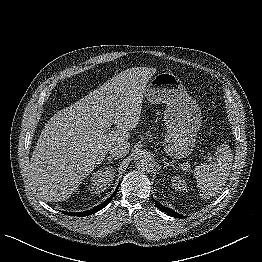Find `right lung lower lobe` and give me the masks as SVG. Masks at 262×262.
Segmentation results:
<instances>
[{
	"instance_id": "obj_1",
	"label": "right lung lower lobe",
	"mask_w": 262,
	"mask_h": 262,
	"mask_svg": "<svg viewBox=\"0 0 262 262\" xmlns=\"http://www.w3.org/2000/svg\"><path fill=\"white\" fill-rule=\"evenodd\" d=\"M118 189V187H117ZM117 189L115 190V192L111 195V197H109L106 201H104L103 203H101L100 205L96 206L95 208L91 209V210H87V211H84V212H77V213H74V212H64V214L66 215H71V216H88L90 214H93V213H96L98 212L99 210H101L102 208H104L110 201L111 199L115 196L116 192H117Z\"/></svg>"
}]
</instances>
